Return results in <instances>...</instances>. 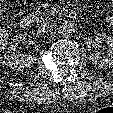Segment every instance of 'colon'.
I'll return each mask as SVG.
<instances>
[{"mask_svg": "<svg viewBox=\"0 0 113 113\" xmlns=\"http://www.w3.org/2000/svg\"><path fill=\"white\" fill-rule=\"evenodd\" d=\"M7 40H8V34L0 23V51L5 47Z\"/></svg>", "mask_w": 113, "mask_h": 113, "instance_id": "obj_1", "label": "colon"}]
</instances>
